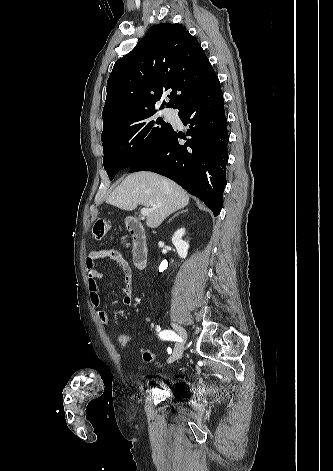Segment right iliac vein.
Returning a JSON list of instances; mask_svg holds the SVG:
<instances>
[{
    "label": "right iliac vein",
    "mask_w": 333,
    "mask_h": 471,
    "mask_svg": "<svg viewBox=\"0 0 333 471\" xmlns=\"http://www.w3.org/2000/svg\"><path fill=\"white\" fill-rule=\"evenodd\" d=\"M172 326L183 339L187 338V333L183 327H181L180 325L176 323H173ZM183 351H184V342L177 343L175 345L172 355L168 359V363H173L174 361L178 360L182 356Z\"/></svg>",
    "instance_id": "1"
}]
</instances>
